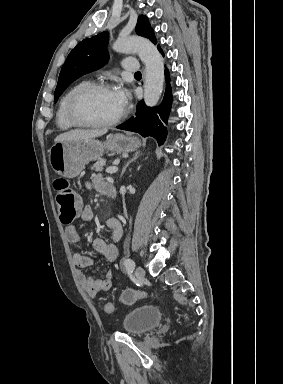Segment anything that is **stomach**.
<instances>
[{
	"label": "stomach",
	"instance_id": "0dacf381",
	"mask_svg": "<svg viewBox=\"0 0 283 384\" xmlns=\"http://www.w3.org/2000/svg\"><path fill=\"white\" fill-rule=\"evenodd\" d=\"M138 138H130L123 134H114L106 142H99L95 138L79 140V142H57L49 150V162L52 170L64 178H76L84 170L85 164L93 160H101L104 150H111L116 154L121 152H135L140 148Z\"/></svg>",
	"mask_w": 283,
	"mask_h": 384
}]
</instances>
